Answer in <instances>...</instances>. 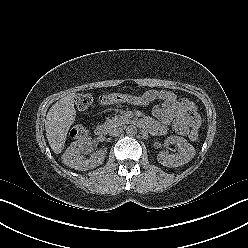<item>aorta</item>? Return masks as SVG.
<instances>
[{
    "mask_svg": "<svg viewBox=\"0 0 248 248\" xmlns=\"http://www.w3.org/2000/svg\"><path fill=\"white\" fill-rule=\"evenodd\" d=\"M126 134L129 136H134L137 134V128L134 125H129L126 127Z\"/></svg>",
    "mask_w": 248,
    "mask_h": 248,
    "instance_id": "obj_1",
    "label": "aorta"
}]
</instances>
